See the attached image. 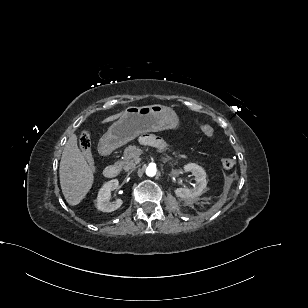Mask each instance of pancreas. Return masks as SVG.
<instances>
[{
    "label": "pancreas",
    "mask_w": 308,
    "mask_h": 308,
    "mask_svg": "<svg viewBox=\"0 0 308 308\" xmlns=\"http://www.w3.org/2000/svg\"><path fill=\"white\" fill-rule=\"evenodd\" d=\"M142 153V150L139 149L135 145H129L128 147L125 148L124 153H123V160L118 161L116 164L120 167H122L124 170H130L134 169L136 165L140 162V155ZM175 157L179 158H186L184 155H179L178 153L174 152L173 153Z\"/></svg>",
    "instance_id": "cf45deb5"
}]
</instances>
